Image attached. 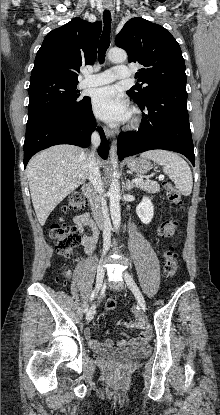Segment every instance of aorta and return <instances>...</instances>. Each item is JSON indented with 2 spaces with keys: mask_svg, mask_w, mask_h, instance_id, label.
I'll list each match as a JSON object with an SVG mask.
<instances>
[{
  "mask_svg": "<svg viewBox=\"0 0 220 415\" xmlns=\"http://www.w3.org/2000/svg\"><path fill=\"white\" fill-rule=\"evenodd\" d=\"M108 59L114 63H122L127 60V53L120 48H112L108 52ZM110 160L113 166V179L110 184L108 196L110 200V214L115 230L120 228L121 210H120V183L117 178V154L115 143L110 149Z\"/></svg>",
  "mask_w": 220,
  "mask_h": 415,
  "instance_id": "obj_1",
  "label": "aorta"
}]
</instances>
